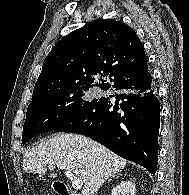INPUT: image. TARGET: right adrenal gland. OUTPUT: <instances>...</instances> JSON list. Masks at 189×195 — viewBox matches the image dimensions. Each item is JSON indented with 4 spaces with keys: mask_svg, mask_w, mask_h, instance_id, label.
Listing matches in <instances>:
<instances>
[{
    "mask_svg": "<svg viewBox=\"0 0 189 195\" xmlns=\"http://www.w3.org/2000/svg\"><path fill=\"white\" fill-rule=\"evenodd\" d=\"M120 176H122V175L120 173H117L116 175H113L110 178H108L107 182L111 181L112 178L120 177Z\"/></svg>",
    "mask_w": 189,
    "mask_h": 195,
    "instance_id": "obj_1",
    "label": "right adrenal gland"
}]
</instances>
